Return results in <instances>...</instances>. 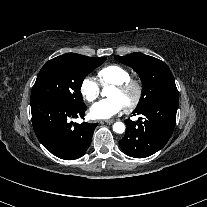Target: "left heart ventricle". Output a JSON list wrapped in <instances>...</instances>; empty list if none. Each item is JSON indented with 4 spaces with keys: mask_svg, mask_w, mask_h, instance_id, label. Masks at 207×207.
Returning a JSON list of instances; mask_svg holds the SVG:
<instances>
[{
    "mask_svg": "<svg viewBox=\"0 0 207 207\" xmlns=\"http://www.w3.org/2000/svg\"><path fill=\"white\" fill-rule=\"evenodd\" d=\"M110 96L112 98H119L126 104L131 98L132 92H129L127 94H121L116 88H114Z\"/></svg>",
    "mask_w": 207,
    "mask_h": 207,
    "instance_id": "b2bd125f",
    "label": "left heart ventricle"
}]
</instances>
